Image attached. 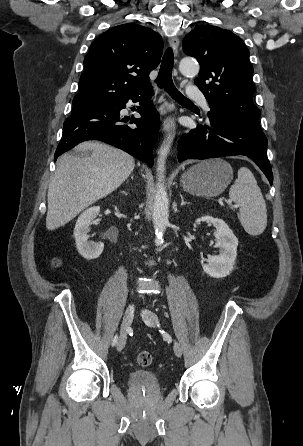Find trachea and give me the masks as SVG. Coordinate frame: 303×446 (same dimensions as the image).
I'll list each match as a JSON object with an SVG mask.
<instances>
[{"label": "trachea", "instance_id": "3493384b", "mask_svg": "<svg viewBox=\"0 0 303 446\" xmlns=\"http://www.w3.org/2000/svg\"><path fill=\"white\" fill-rule=\"evenodd\" d=\"M174 64V56L171 48H168L163 56L162 64L156 79L159 88H164L166 92L179 103H192L188 98L183 96L175 87L172 80V69Z\"/></svg>", "mask_w": 303, "mask_h": 446}]
</instances>
